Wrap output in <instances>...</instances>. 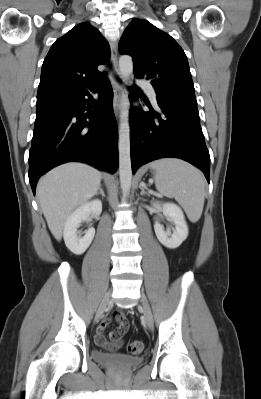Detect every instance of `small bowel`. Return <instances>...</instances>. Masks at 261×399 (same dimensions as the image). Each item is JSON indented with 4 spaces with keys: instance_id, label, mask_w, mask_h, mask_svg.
<instances>
[{
    "instance_id": "1",
    "label": "small bowel",
    "mask_w": 261,
    "mask_h": 399,
    "mask_svg": "<svg viewBox=\"0 0 261 399\" xmlns=\"http://www.w3.org/2000/svg\"><path fill=\"white\" fill-rule=\"evenodd\" d=\"M115 320L119 323L117 329L111 331L108 335V339L105 337V330L111 320ZM129 328V322L124 314L120 311H116L110 318L104 319L97 327L95 334V342L98 346L107 350H117L123 344V336Z\"/></svg>"
}]
</instances>
